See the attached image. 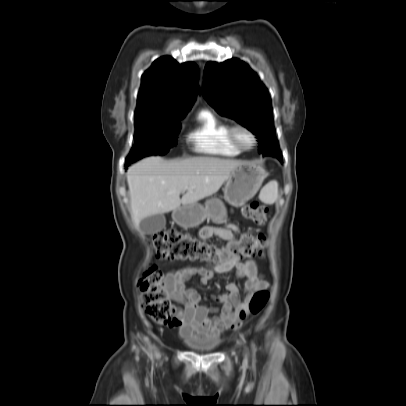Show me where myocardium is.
<instances>
[{
	"label": "myocardium",
	"mask_w": 406,
	"mask_h": 406,
	"mask_svg": "<svg viewBox=\"0 0 406 406\" xmlns=\"http://www.w3.org/2000/svg\"><path fill=\"white\" fill-rule=\"evenodd\" d=\"M238 131H245L246 133L249 134V136L251 137V140H252V142L249 146H246L240 142V140L238 138ZM229 138H230L231 142L240 150H250L257 143V137H256V134L253 132V130L250 127H248L247 125L241 124V123H236L229 127Z\"/></svg>",
	"instance_id": "1"
}]
</instances>
